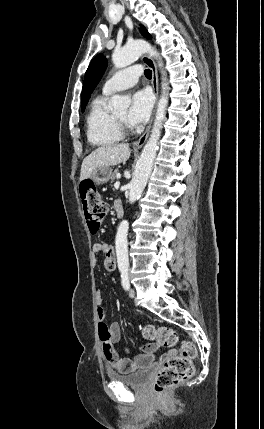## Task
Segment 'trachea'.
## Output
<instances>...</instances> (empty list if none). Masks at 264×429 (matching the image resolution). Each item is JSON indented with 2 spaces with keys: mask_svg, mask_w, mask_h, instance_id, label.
I'll list each match as a JSON object with an SVG mask.
<instances>
[{
  "mask_svg": "<svg viewBox=\"0 0 264 429\" xmlns=\"http://www.w3.org/2000/svg\"><path fill=\"white\" fill-rule=\"evenodd\" d=\"M144 74H145V76H146L148 79H151V78H152V71H151L150 69H146V70L144 71Z\"/></svg>",
  "mask_w": 264,
  "mask_h": 429,
  "instance_id": "trachea-1",
  "label": "trachea"
}]
</instances>
